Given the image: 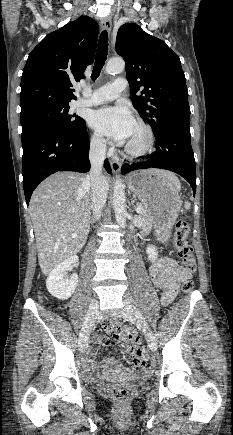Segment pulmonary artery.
<instances>
[{
	"instance_id": "obj_1",
	"label": "pulmonary artery",
	"mask_w": 233,
	"mask_h": 435,
	"mask_svg": "<svg viewBox=\"0 0 233 435\" xmlns=\"http://www.w3.org/2000/svg\"><path fill=\"white\" fill-rule=\"evenodd\" d=\"M127 82L124 78H117L113 83L105 84L97 89L90 98L81 97L78 106H92L106 101L117 99L126 89Z\"/></svg>"
}]
</instances>
